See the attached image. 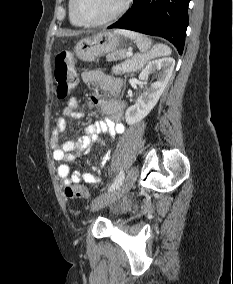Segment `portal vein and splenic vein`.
Wrapping results in <instances>:
<instances>
[{
    "instance_id": "1",
    "label": "portal vein and splenic vein",
    "mask_w": 233,
    "mask_h": 284,
    "mask_svg": "<svg viewBox=\"0 0 233 284\" xmlns=\"http://www.w3.org/2000/svg\"><path fill=\"white\" fill-rule=\"evenodd\" d=\"M132 55H133L132 51L127 52V56H132Z\"/></svg>"
}]
</instances>
